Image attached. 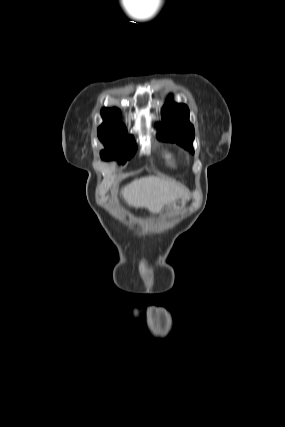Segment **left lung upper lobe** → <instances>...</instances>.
Listing matches in <instances>:
<instances>
[{"mask_svg":"<svg viewBox=\"0 0 285 427\" xmlns=\"http://www.w3.org/2000/svg\"><path fill=\"white\" fill-rule=\"evenodd\" d=\"M163 119L158 125V138L163 141L176 142L194 153L192 146L195 134L189 122V109L184 104L174 103L169 96L162 111Z\"/></svg>","mask_w":285,"mask_h":427,"instance_id":"obj_1","label":"left lung upper lobe"}]
</instances>
